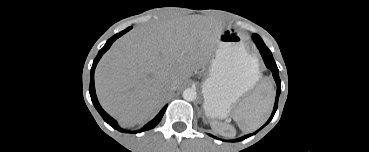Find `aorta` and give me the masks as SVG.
<instances>
[{
	"label": "aorta",
	"instance_id": "aorta-1",
	"mask_svg": "<svg viewBox=\"0 0 369 152\" xmlns=\"http://www.w3.org/2000/svg\"><path fill=\"white\" fill-rule=\"evenodd\" d=\"M182 96L187 101H194L197 98V92L194 88H187L183 91Z\"/></svg>",
	"mask_w": 369,
	"mask_h": 152
}]
</instances>
